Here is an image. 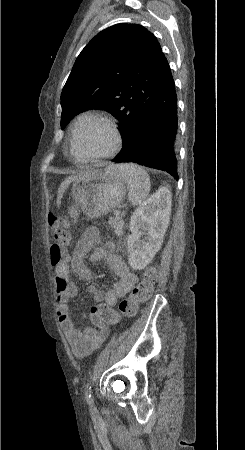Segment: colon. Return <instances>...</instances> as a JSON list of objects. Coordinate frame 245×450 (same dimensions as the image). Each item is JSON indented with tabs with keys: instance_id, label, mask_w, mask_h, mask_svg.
<instances>
[{
	"instance_id": "colon-1",
	"label": "colon",
	"mask_w": 245,
	"mask_h": 450,
	"mask_svg": "<svg viewBox=\"0 0 245 450\" xmlns=\"http://www.w3.org/2000/svg\"><path fill=\"white\" fill-rule=\"evenodd\" d=\"M49 225L53 237L50 246V263L53 267L62 264L67 256L66 247L69 242L68 224L56 214L49 216ZM158 278L155 266L144 269L142 280L136 284L128 298L122 300L115 309L108 304H96L92 307V315L100 322L115 324L123 317H131L136 314L139 305L147 303L154 291V285Z\"/></svg>"
}]
</instances>
